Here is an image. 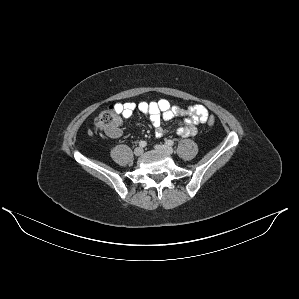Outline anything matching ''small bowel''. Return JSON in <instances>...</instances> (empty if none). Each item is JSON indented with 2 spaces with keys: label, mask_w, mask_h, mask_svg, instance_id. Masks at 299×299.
<instances>
[{
  "label": "small bowel",
  "mask_w": 299,
  "mask_h": 299,
  "mask_svg": "<svg viewBox=\"0 0 299 299\" xmlns=\"http://www.w3.org/2000/svg\"><path fill=\"white\" fill-rule=\"evenodd\" d=\"M113 109L124 119H130L135 111H139L149 117L154 128L156 137L160 138L166 134L162 127V121L172 120L177 116H186L176 129L178 135L182 137L193 136L197 133V126L207 121L208 110L203 105H194L188 109H183L172 105L168 100L141 101V102H118L113 105ZM112 138H118L121 131L109 134Z\"/></svg>",
  "instance_id": "small-bowel-1"
}]
</instances>
